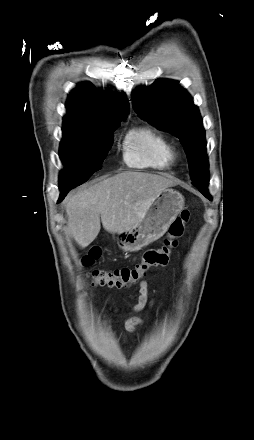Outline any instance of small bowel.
I'll use <instances>...</instances> for the list:
<instances>
[{
  "label": "small bowel",
  "instance_id": "c3829d8e",
  "mask_svg": "<svg viewBox=\"0 0 254 440\" xmlns=\"http://www.w3.org/2000/svg\"><path fill=\"white\" fill-rule=\"evenodd\" d=\"M148 294H149L148 283L146 280H143L140 282V285H139V296H138L137 302L132 307L133 312H140L147 305L151 304V302L149 301ZM141 324H142V319L140 317L132 316V317L127 318L124 321V328H125V330H127L129 332H133Z\"/></svg>",
  "mask_w": 254,
  "mask_h": 440
}]
</instances>
